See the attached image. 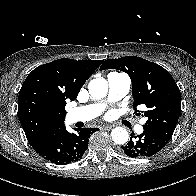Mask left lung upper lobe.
<instances>
[{
  "label": "left lung upper lobe",
  "instance_id": "5c2ea615",
  "mask_svg": "<svg viewBox=\"0 0 196 196\" xmlns=\"http://www.w3.org/2000/svg\"><path fill=\"white\" fill-rule=\"evenodd\" d=\"M105 69L129 74L135 113L139 112L136 107L140 104L147 108L142 111L147 117L143 128L153 130L169 142L181 112L180 90L169 72L156 63L135 56L108 59L100 67V70Z\"/></svg>",
  "mask_w": 196,
  "mask_h": 196
}]
</instances>
